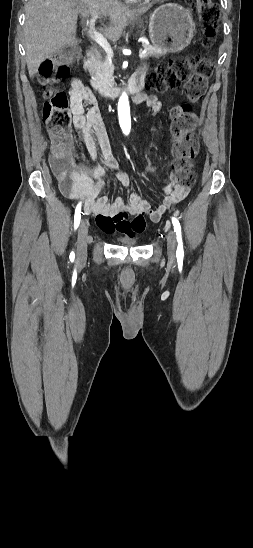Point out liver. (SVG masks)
Segmentation results:
<instances>
[{
    "mask_svg": "<svg viewBox=\"0 0 253 548\" xmlns=\"http://www.w3.org/2000/svg\"><path fill=\"white\" fill-rule=\"evenodd\" d=\"M130 9L118 0H29L26 5L24 43L30 78L42 62L67 45L77 43L78 14L108 16L105 36L117 41L128 22L148 11Z\"/></svg>",
    "mask_w": 253,
    "mask_h": 548,
    "instance_id": "6515ba94",
    "label": "liver"
}]
</instances>
